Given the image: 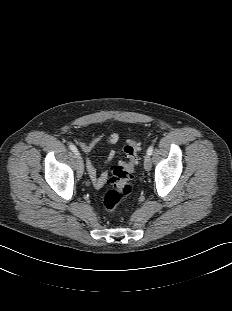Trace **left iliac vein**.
Returning <instances> with one entry per match:
<instances>
[{"instance_id": "4c4485c4", "label": "left iliac vein", "mask_w": 232, "mask_h": 311, "mask_svg": "<svg viewBox=\"0 0 232 311\" xmlns=\"http://www.w3.org/2000/svg\"><path fill=\"white\" fill-rule=\"evenodd\" d=\"M151 167H152V163H151V158H150V155H146L144 157V169L146 171H150L151 170Z\"/></svg>"}]
</instances>
